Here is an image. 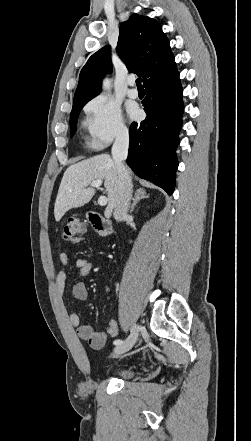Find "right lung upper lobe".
<instances>
[{
  "mask_svg": "<svg viewBox=\"0 0 251 441\" xmlns=\"http://www.w3.org/2000/svg\"><path fill=\"white\" fill-rule=\"evenodd\" d=\"M116 51L129 71L143 77L144 84L176 65L162 26L142 15H132L121 24ZM111 71V47L108 45L95 52L82 68L73 101L97 96L101 92L102 78Z\"/></svg>",
  "mask_w": 251,
  "mask_h": 441,
  "instance_id": "cb5924a9",
  "label": "right lung upper lobe"
}]
</instances>
